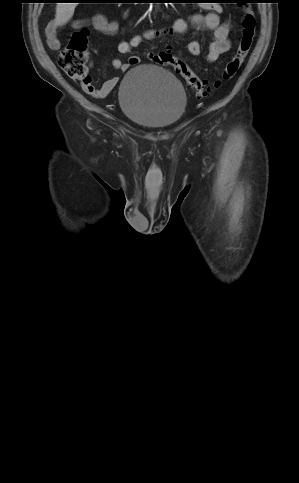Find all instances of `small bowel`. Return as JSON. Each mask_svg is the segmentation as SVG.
Returning <instances> with one entry per match:
<instances>
[{
  "label": "small bowel",
  "instance_id": "obj_1",
  "mask_svg": "<svg viewBox=\"0 0 299 483\" xmlns=\"http://www.w3.org/2000/svg\"><path fill=\"white\" fill-rule=\"evenodd\" d=\"M222 11L223 8L220 5L212 4L206 12L193 14L189 19L178 18L168 27L150 28L140 34H136L130 40L121 41L118 45V51L121 54H129L133 48L138 47L144 41H153L165 36L182 37L187 32L190 21L194 25L208 29L211 32L206 61L208 63H215L231 47L229 40L230 25L227 22L221 21L220 14ZM58 26L59 24L57 22H50L46 28L48 45L55 50L60 47V40L57 35ZM72 26L76 29L91 27L105 35H115L119 30V22L116 20H108L103 14H96L90 19L75 21ZM186 46L191 55L199 56L201 54V46L198 41L191 40ZM139 62L140 59L137 56H131L127 62L114 59L112 65L116 70L125 72ZM119 79L118 76H114L106 80L99 88L93 86L91 90L83 89L93 96L102 98L115 88Z\"/></svg>",
  "mask_w": 299,
  "mask_h": 483
}]
</instances>
